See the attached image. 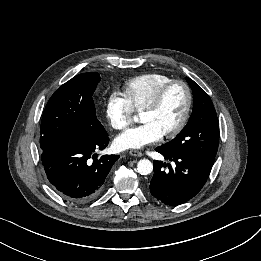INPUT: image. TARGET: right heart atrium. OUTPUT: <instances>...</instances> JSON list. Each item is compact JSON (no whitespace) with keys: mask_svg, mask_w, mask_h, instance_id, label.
Masks as SVG:
<instances>
[{"mask_svg":"<svg viewBox=\"0 0 261 261\" xmlns=\"http://www.w3.org/2000/svg\"><path fill=\"white\" fill-rule=\"evenodd\" d=\"M134 109L125 96L113 93L106 102V117L116 130H125L132 122Z\"/></svg>","mask_w":261,"mask_h":261,"instance_id":"right-heart-atrium-1","label":"right heart atrium"}]
</instances>
